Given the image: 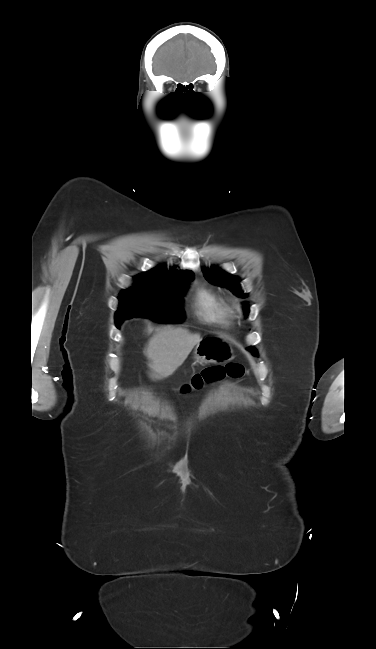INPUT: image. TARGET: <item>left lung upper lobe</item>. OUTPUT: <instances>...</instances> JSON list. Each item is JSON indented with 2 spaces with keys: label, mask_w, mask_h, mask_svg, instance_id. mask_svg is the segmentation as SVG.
I'll return each instance as SVG.
<instances>
[{
  "label": "left lung upper lobe",
  "mask_w": 376,
  "mask_h": 649,
  "mask_svg": "<svg viewBox=\"0 0 376 649\" xmlns=\"http://www.w3.org/2000/svg\"><path fill=\"white\" fill-rule=\"evenodd\" d=\"M204 277L211 283L217 284L219 286H224L229 288L235 295L238 297H246L247 294H244L240 290L239 286V278L234 277L229 275L228 273L216 268L212 267L210 271H208L206 268L203 269ZM245 306V312H247V306ZM255 356H258V354H254Z\"/></svg>",
  "instance_id": "left-lung-upper-lobe-1"
}]
</instances>
